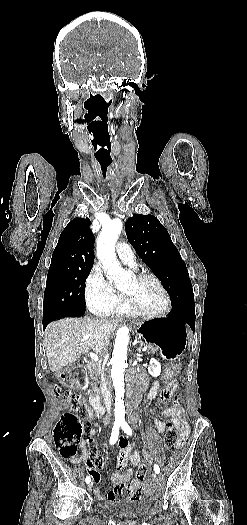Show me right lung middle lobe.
Segmentation results:
<instances>
[{
    "label": "right lung middle lobe",
    "instance_id": "right-lung-middle-lobe-1",
    "mask_svg": "<svg viewBox=\"0 0 247 525\" xmlns=\"http://www.w3.org/2000/svg\"><path fill=\"white\" fill-rule=\"evenodd\" d=\"M91 269L48 271L43 322L85 312L84 285Z\"/></svg>",
    "mask_w": 247,
    "mask_h": 525
}]
</instances>
